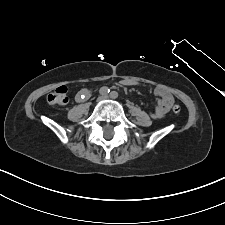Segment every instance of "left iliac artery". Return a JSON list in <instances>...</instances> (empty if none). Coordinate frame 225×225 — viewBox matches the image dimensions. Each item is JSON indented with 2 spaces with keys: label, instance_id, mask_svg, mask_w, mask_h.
Here are the masks:
<instances>
[{
  "label": "left iliac artery",
  "instance_id": "obj_1",
  "mask_svg": "<svg viewBox=\"0 0 225 225\" xmlns=\"http://www.w3.org/2000/svg\"><path fill=\"white\" fill-rule=\"evenodd\" d=\"M110 97L113 98V99H115V98L118 97V93H117L116 91H112V92L110 93Z\"/></svg>",
  "mask_w": 225,
  "mask_h": 225
}]
</instances>
